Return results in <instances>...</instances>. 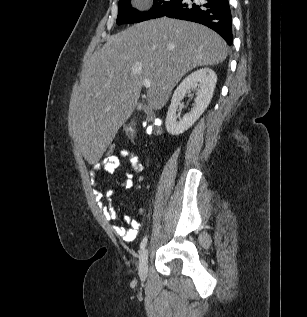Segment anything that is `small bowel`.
I'll use <instances>...</instances> for the list:
<instances>
[{
  "instance_id": "c3829d8e",
  "label": "small bowel",
  "mask_w": 307,
  "mask_h": 317,
  "mask_svg": "<svg viewBox=\"0 0 307 317\" xmlns=\"http://www.w3.org/2000/svg\"><path fill=\"white\" fill-rule=\"evenodd\" d=\"M120 157L125 158L131 165L132 171L134 174L141 173L143 170V163L139 156L132 150L130 149H123L120 154L114 158L110 159H102L98 161L94 165L95 170H100L103 171L104 173L107 174H112L114 173L120 166ZM133 173H126L125 179L122 180L119 183V186L124 188V189H129L132 187V177ZM114 194L113 190H108L105 194L106 199L108 200V203L105 204L102 202V195L97 194V200L101 204V211L105 219L107 220H113L116 217V213L114 209L112 208L110 204V200ZM124 221L130 225L129 228H124L120 227L117 225H114L112 228L114 232L120 236L125 242H131L133 241L137 234H138V229L140 228V224L132 219L131 216L126 215L124 216Z\"/></svg>"
}]
</instances>
